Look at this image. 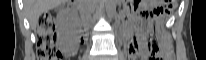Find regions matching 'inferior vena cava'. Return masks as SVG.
Listing matches in <instances>:
<instances>
[{"label": "inferior vena cava", "instance_id": "602c4592", "mask_svg": "<svg viewBox=\"0 0 206 60\" xmlns=\"http://www.w3.org/2000/svg\"><path fill=\"white\" fill-rule=\"evenodd\" d=\"M84 19H85L86 21H90V20H91V14H90L89 12L85 13Z\"/></svg>", "mask_w": 206, "mask_h": 60}]
</instances>
